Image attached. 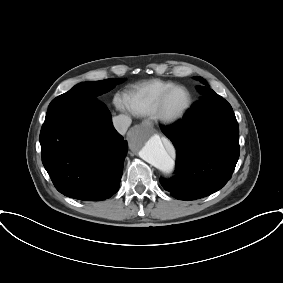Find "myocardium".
Here are the masks:
<instances>
[{
    "label": "myocardium",
    "instance_id": "obj_1",
    "mask_svg": "<svg viewBox=\"0 0 283 283\" xmlns=\"http://www.w3.org/2000/svg\"><path fill=\"white\" fill-rule=\"evenodd\" d=\"M184 91L186 94V102L183 107L177 111H169L166 109V101L169 96L175 91ZM192 106V95L190 91L181 85H174L167 89L162 95L159 97L156 108L154 111V117L164 123V124H174L180 121L184 116L188 113Z\"/></svg>",
    "mask_w": 283,
    "mask_h": 283
}]
</instances>
